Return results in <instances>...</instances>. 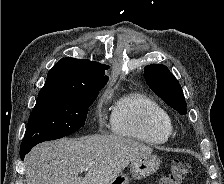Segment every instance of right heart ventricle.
I'll use <instances>...</instances> for the list:
<instances>
[{
    "instance_id": "obj_1",
    "label": "right heart ventricle",
    "mask_w": 224,
    "mask_h": 184,
    "mask_svg": "<svg viewBox=\"0 0 224 184\" xmlns=\"http://www.w3.org/2000/svg\"><path fill=\"white\" fill-rule=\"evenodd\" d=\"M110 122L115 134L149 145L166 143L172 133L167 110L141 92L120 97L112 109Z\"/></svg>"
}]
</instances>
